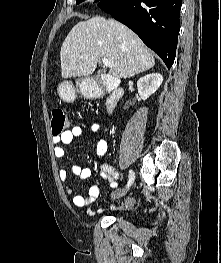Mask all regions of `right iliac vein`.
I'll use <instances>...</instances> for the list:
<instances>
[{"label": "right iliac vein", "mask_w": 221, "mask_h": 263, "mask_svg": "<svg viewBox=\"0 0 221 263\" xmlns=\"http://www.w3.org/2000/svg\"><path fill=\"white\" fill-rule=\"evenodd\" d=\"M126 191H127V189L122 190V191H120V192H118V193H116V194H113V195L111 196V198H112L113 200L119 199V198H121L122 196L125 195Z\"/></svg>", "instance_id": "63e3f726"}]
</instances>
